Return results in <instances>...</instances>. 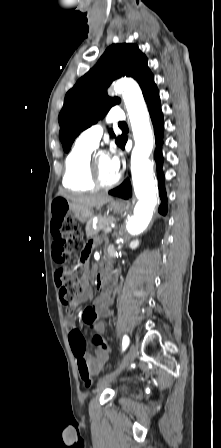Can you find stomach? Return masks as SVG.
<instances>
[{"label":"stomach","instance_id":"1","mask_svg":"<svg viewBox=\"0 0 221 448\" xmlns=\"http://www.w3.org/2000/svg\"><path fill=\"white\" fill-rule=\"evenodd\" d=\"M65 203L68 206V210L71 211L81 223H89L91 218L90 209H75L71 203L67 201H65ZM110 208L114 211V213H122L127 209V204L123 201H115L112 199L110 201Z\"/></svg>","mask_w":221,"mask_h":448}]
</instances>
